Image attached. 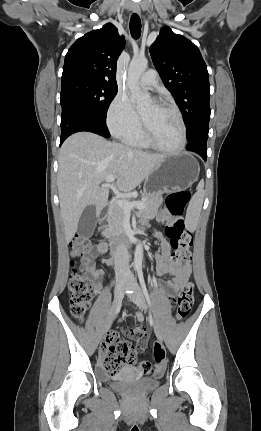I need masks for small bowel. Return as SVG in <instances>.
I'll use <instances>...</instances> for the list:
<instances>
[{"instance_id":"small-bowel-1","label":"small bowel","mask_w":261,"mask_h":431,"mask_svg":"<svg viewBox=\"0 0 261 431\" xmlns=\"http://www.w3.org/2000/svg\"><path fill=\"white\" fill-rule=\"evenodd\" d=\"M162 217L167 218L168 214L165 213L162 215ZM153 237L157 240L162 250V252L160 254H157L155 257L158 272L162 275L171 276V279H169L163 284V293L168 297H173L184 285V283L189 279L192 269L190 265L179 266L173 263L170 260L171 246L169 242L166 239H164L159 233H153ZM106 251H107L106 246L103 243H100L92 249L89 257L90 258L100 257L102 263L106 265H111V259L105 256ZM89 263L91 268L92 281L94 283V292L96 294H99L101 290L102 279L104 276V270L94 268L91 261H89ZM139 318L141 319L142 316L139 315ZM130 333L137 337V342L134 347L133 359L129 364H133L138 368L140 362H137L135 358V353L142 352L146 349L147 334H146V330L141 327L131 330ZM104 344H105V341L103 343V346Z\"/></svg>"}]
</instances>
